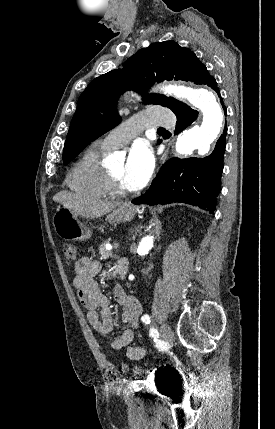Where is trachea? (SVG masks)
<instances>
[{
  "mask_svg": "<svg viewBox=\"0 0 275 429\" xmlns=\"http://www.w3.org/2000/svg\"><path fill=\"white\" fill-rule=\"evenodd\" d=\"M158 131H165L164 128H158Z\"/></svg>",
  "mask_w": 275,
  "mask_h": 429,
  "instance_id": "obj_1",
  "label": "trachea"
}]
</instances>
